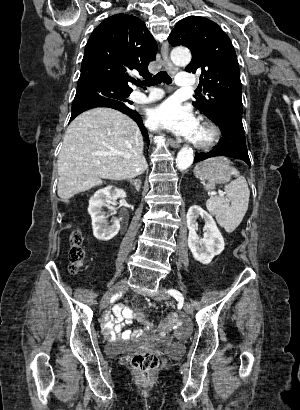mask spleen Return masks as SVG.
Here are the masks:
<instances>
[{"label": "spleen", "mask_w": 300, "mask_h": 410, "mask_svg": "<svg viewBox=\"0 0 300 410\" xmlns=\"http://www.w3.org/2000/svg\"><path fill=\"white\" fill-rule=\"evenodd\" d=\"M231 173L236 177L234 181L225 185L226 198L222 196H211L206 207L208 211L215 215L218 224L223 227L226 232H233L241 223L249 203L250 191L246 179L240 175L239 171L233 167L230 168ZM213 182L205 185V189H213Z\"/></svg>", "instance_id": "3e777b00"}]
</instances>
